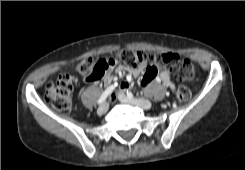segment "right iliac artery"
<instances>
[{"label":"right iliac artery","instance_id":"obj_1","mask_svg":"<svg viewBox=\"0 0 245 170\" xmlns=\"http://www.w3.org/2000/svg\"><path fill=\"white\" fill-rule=\"evenodd\" d=\"M117 86V83H115L114 85L109 86L100 96L99 100H98V104L103 103L108 96L111 95V93L113 92V90L115 89V87Z\"/></svg>","mask_w":245,"mask_h":170}]
</instances>
